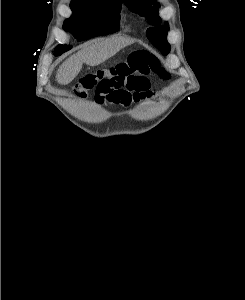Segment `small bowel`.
<instances>
[{
  "instance_id": "c3829d8e",
  "label": "small bowel",
  "mask_w": 245,
  "mask_h": 300,
  "mask_svg": "<svg viewBox=\"0 0 245 300\" xmlns=\"http://www.w3.org/2000/svg\"><path fill=\"white\" fill-rule=\"evenodd\" d=\"M96 87L95 102L97 105L115 104L125 108L134 103L149 99L152 95L150 82L145 75H140L129 83L118 76H105ZM85 97V90L81 93Z\"/></svg>"
}]
</instances>
